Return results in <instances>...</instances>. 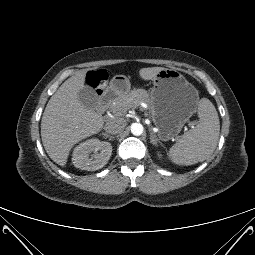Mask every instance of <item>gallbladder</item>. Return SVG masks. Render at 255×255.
Returning <instances> with one entry per match:
<instances>
[{
	"label": "gallbladder",
	"instance_id": "1",
	"mask_svg": "<svg viewBox=\"0 0 255 255\" xmlns=\"http://www.w3.org/2000/svg\"><path fill=\"white\" fill-rule=\"evenodd\" d=\"M81 103L87 107L94 109L97 105L98 98L94 91L88 87H84L78 94Z\"/></svg>",
	"mask_w": 255,
	"mask_h": 255
}]
</instances>
